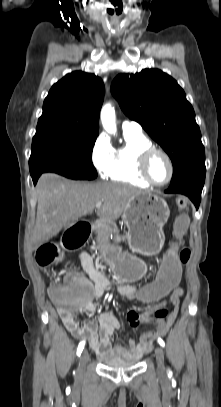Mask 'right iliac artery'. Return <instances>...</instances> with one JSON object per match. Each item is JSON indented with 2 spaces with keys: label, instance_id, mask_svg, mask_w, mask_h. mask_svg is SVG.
Listing matches in <instances>:
<instances>
[{
  "label": "right iliac artery",
  "instance_id": "right-iliac-artery-1",
  "mask_svg": "<svg viewBox=\"0 0 221 407\" xmlns=\"http://www.w3.org/2000/svg\"><path fill=\"white\" fill-rule=\"evenodd\" d=\"M84 346H85V341L83 340V341H81V342L79 343L78 348H77V355H78V356H80V354H81V352H82Z\"/></svg>",
  "mask_w": 221,
  "mask_h": 407
}]
</instances>
